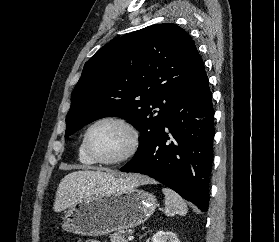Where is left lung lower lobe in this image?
<instances>
[{
    "label": "left lung lower lobe",
    "instance_id": "left-lung-lower-lobe-1",
    "mask_svg": "<svg viewBox=\"0 0 279 242\" xmlns=\"http://www.w3.org/2000/svg\"><path fill=\"white\" fill-rule=\"evenodd\" d=\"M211 99L204 64L198 56L153 145L120 171L148 175L201 211H208L214 136Z\"/></svg>",
    "mask_w": 279,
    "mask_h": 242
}]
</instances>
